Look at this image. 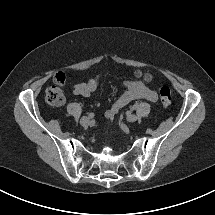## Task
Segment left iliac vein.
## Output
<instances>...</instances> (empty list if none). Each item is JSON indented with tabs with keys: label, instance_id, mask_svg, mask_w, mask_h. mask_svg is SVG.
Instances as JSON below:
<instances>
[{
	"label": "left iliac vein",
	"instance_id": "left-iliac-vein-1",
	"mask_svg": "<svg viewBox=\"0 0 215 215\" xmlns=\"http://www.w3.org/2000/svg\"><path fill=\"white\" fill-rule=\"evenodd\" d=\"M126 120H127L128 122H136V121L138 120V116L135 115V114L128 113V114L126 115Z\"/></svg>",
	"mask_w": 215,
	"mask_h": 215
}]
</instances>
